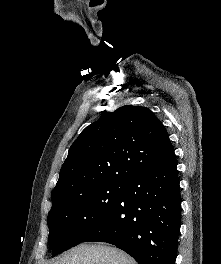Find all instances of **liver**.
I'll use <instances>...</instances> for the list:
<instances>
[{
    "label": "liver",
    "mask_w": 221,
    "mask_h": 264,
    "mask_svg": "<svg viewBox=\"0 0 221 264\" xmlns=\"http://www.w3.org/2000/svg\"><path fill=\"white\" fill-rule=\"evenodd\" d=\"M48 264H137L123 251L105 245H79Z\"/></svg>",
    "instance_id": "liver-1"
}]
</instances>
